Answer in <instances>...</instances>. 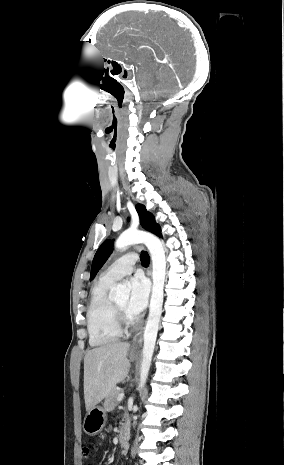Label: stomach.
Wrapping results in <instances>:
<instances>
[{
    "mask_svg": "<svg viewBox=\"0 0 284 465\" xmlns=\"http://www.w3.org/2000/svg\"><path fill=\"white\" fill-rule=\"evenodd\" d=\"M130 359L131 361L138 359V353L131 351ZM105 423L106 413L104 409H102V407H95V409H90V411H87L83 421V431H85L87 435L94 437V435H98V433L102 431Z\"/></svg>",
    "mask_w": 284,
    "mask_h": 465,
    "instance_id": "obj_1",
    "label": "stomach"
}]
</instances>
